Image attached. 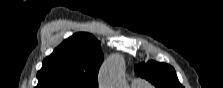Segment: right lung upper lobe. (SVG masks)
<instances>
[{"instance_id": "obj_1", "label": "right lung upper lobe", "mask_w": 223, "mask_h": 88, "mask_svg": "<svg viewBox=\"0 0 223 88\" xmlns=\"http://www.w3.org/2000/svg\"><path fill=\"white\" fill-rule=\"evenodd\" d=\"M101 44L88 33H77L43 60L37 88H98V69L103 61Z\"/></svg>"}]
</instances>
